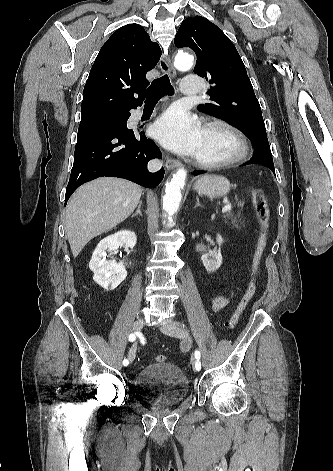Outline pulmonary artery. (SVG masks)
Listing matches in <instances>:
<instances>
[{
    "instance_id": "e3ab8cb5",
    "label": "pulmonary artery",
    "mask_w": 333,
    "mask_h": 471,
    "mask_svg": "<svg viewBox=\"0 0 333 471\" xmlns=\"http://www.w3.org/2000/svg\"><path fill=\"white\" fill-rule=\"evenodd\" d=\"M202 89L201 79L196 75L187 76L182 83V92L185 95H197Z\"/></svg>"
}]
</instances>
